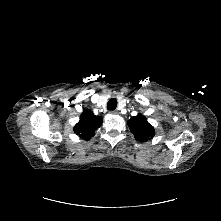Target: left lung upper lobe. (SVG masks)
I'll use <instances>...</instances> for the list:
<instances>
[{
    "label": "left lung upper lobe",
    "mask_w": 221,
    "mask_h": 221,
    "mask_svg": "<svg viewBox=\"0 0 221 221\" xmlns=\"http://www.w3.org/2000/svg\"><path fill=\"white\" fill-rule=\"evenodd\" d=\"M127 124L131 132L134 134L135 139L138 141L145 142L153 138L155 135L154 128L148 123L146 117L142 114L130 118V120L127 121Z\"/></svg>",
    "instance_id": "5c2ea615"
}]
</instances>
